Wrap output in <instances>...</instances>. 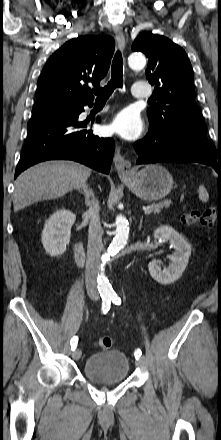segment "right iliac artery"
<instances>
[{
  "label": "right iliac artery",
  "instance_id": "82829eb1",
  "mask_svg": "<svg viewBox=\"0 0 221 440\" xmlns=\"http://www.w3.org/2000/svg\"><path fill=\"white\" fill-rule=\"evenodd\" d=\"M110 304H111V298L110 297H103L102 298V312L104 314H106L109 311ZM77 342H78V337L77 336H75V337H73L71 339L70 344H71L72 351H74L76 349Z\"/></svg>",
  "mask_w": 221,
  "mask_h": 440
}]
</instances>
